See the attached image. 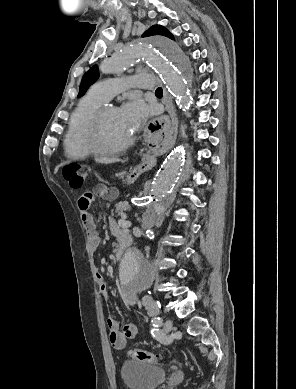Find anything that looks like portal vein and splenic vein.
<instances>
[{"mask_svg": "<svg viewBox=\"0 0 296 389\" xmlns=\"http://www.w3.org/2000/svg\"><path fill=\"white\" fill-rule=\"evenodd\" d=\"M119 224L123 227H130L131 226V222L126 221L125 218H122L121 220H119Z\"/></svg>", "mask_w": 296, "mask_h": 389, "instance_id": "obj_1", "label": "portal vein and splenic vein"}]
</instances>
